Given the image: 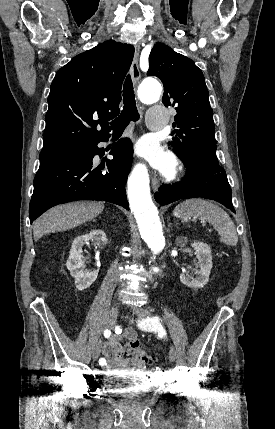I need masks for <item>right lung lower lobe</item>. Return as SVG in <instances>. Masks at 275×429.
<instances>
[{
	"label": "right lung lower lobe",
	"instance_id": "right-lung-lower-lobe-1",
	"mask_svg": "<svg viewBox=\"0 0 275 429\" xmlns=\"http://www.w3.org/2000/svg\"><path fill=\"white\" fill-rule=\"evenodd\" d=\"M109 137L110 134L40 160L29 207L31 223L49 208L76 200H104L129 210L125 183L133 156L130 140L121 139L112 147L110 154L114 158L106 165L92 166L95 155H104V149L97 144Z\"/></svg>",
	"mask_w": 275,
	"mask_h": 429
}]
</instances>
